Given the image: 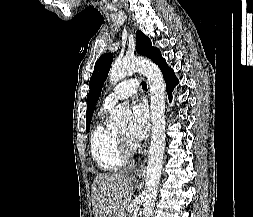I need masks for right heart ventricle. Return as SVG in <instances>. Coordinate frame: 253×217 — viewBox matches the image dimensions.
I'll return each instance as SVG.
<instances>
[{
  "mask_svg": "<svg viewBox=\"0 0 253 217\" xmlns=\"http://www.w3.org/2000/svg\"><path fill=\"white\" fill-rule=\"evenodd\" d=\"M109 109L103 107L101 110V119L91 132L90 150L101 170L116 173L126 166L127 159L119 151L116 132L105 120L104 115Z\"/></svg>",
  "mask_w": 253,
  "mask_h": 217,
  "instance_id": "obj_1",
  "label": "right heart ventricle"
}]
</instances>
